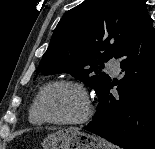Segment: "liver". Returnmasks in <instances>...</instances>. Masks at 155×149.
<instances>
[{
  "label": "liver",
  "instance_id": "1",
  "mask_svg": "<svg viewBox=\"0 0 155 149\" xmlns=\"http://www.w3.org/2000/svg\"><path fill=\"white\" fill-rule=\"evenodd\" d=\"M74 130H78L77 128H73Z\"/></svg>",
  "mask_w": 155,
  "mask_h": 149
}]
</instances>
